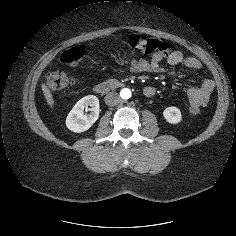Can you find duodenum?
<instances>
[{
  "mask_svg": "<svg viewBox=\"0 0 236 236\" xmlns=\"http://www.w3.org/2000/svg\"><path fill=\"white\" fill-rule=\"evenodd\" d=\"M122 86H123V83L121 81L105 80V81L97 83L94 86V90L99 94H106L110 91L121 88Z\"/></svg>",
  "mask_w": 236,
  "mask_h": 236,
  "instance_id": "obj_1",
  "label": "duodenum"
}]
</instances>
